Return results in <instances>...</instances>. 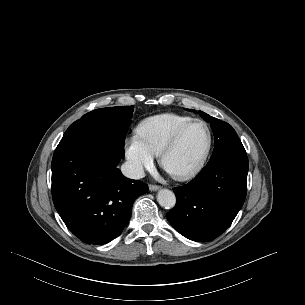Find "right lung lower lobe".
<instances>
[{
    "instance_id": "right-lung-lower-lobe-1",
    "label": "right lung lower lobe",
    "mask_w": 305,
    "mask_h": 305,
    "mask_svg": "<svg viewBox=\"0 0 305 305\" xmlns=\"http://www.w3.org/2000/svg\"><path fill=\"white\" fill-rule=\"evenodd\" d=\"M124 157V156H123ZM119 155L103 140L56 149L52 198L67 228L87 244H105L128 223L132 204L148 186L117 168Z\"/></svg>"
}]
</instances>
